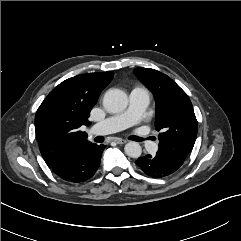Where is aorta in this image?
Masks as SVG:
<instances>
[{"instance_id":"aorta-1","label":"aorta","mask_w":241,"mask_h":241,"mask_svg":"<svg viewBox=\"0 0 241 241\" xmlns=\"http://www.w3.org/2000/svg\"><path fill=\"white\" fill-rule=\"evenodd\" d=\"M128 97L126 93L119 89H109L103 98V106L109 113H119L126 109ZM126 155L131 158L141 156L142 148L139 143L131 141L124 147Z\"/></svg>"}]
</instances>
